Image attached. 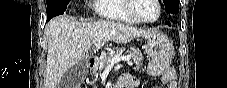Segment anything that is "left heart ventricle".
<instances>
[{
	"label": "left heart ventricle",
	"mask_w": 227,
	"mask_h": 88,
	"mask_svg": "<svg viewBox=\"0 0 227 88\" xmlns=\"http://www.w3.org/2000/svg\"><path fill=\"white\" fill-rule=\"evenodd\" d=\"M135 13L144 20H152L158 14V8L153 0H136Z\"/></svg>",
	"instance_id": "obj_1"
}]
</instances>
